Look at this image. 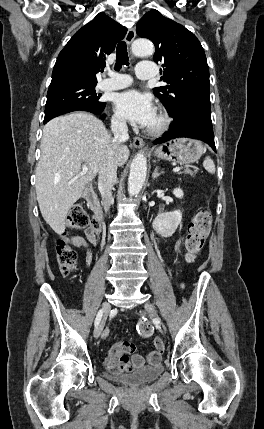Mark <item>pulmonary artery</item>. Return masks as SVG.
<instances>
[{
	"label": "pulmonary artery",
	"mask_w": 264,
	"mask_h": 429,
	"mask_svg": "<svg viewBox=\"0 0 264 429\" xmlns=\"http://www.w3.org/2000/svg\"><path fill=\"white\" fill-rule=\"evenodd\" d=\"M136 75L140 79H150L156 75L155 65L152 62H141L137 65ZM108 78L99 83L101 90H118L128 87L132 79L127 74L108 72Z\"/></svg>",
	"instance_id": "1"
}]
</instances>
